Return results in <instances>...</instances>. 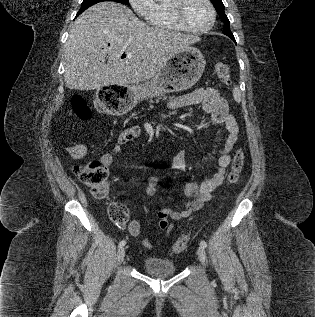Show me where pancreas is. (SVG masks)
<instances>
[{"mask_svg":"<svg viewBox=\"0 0 315 317\" xmlns=\"http://www.w3.org/2000/svg\"><path fill=\"white\" fill-rule=\"evenodd\" d=\"M162 96H163V94H162ZM163 99H167V97L164 96ZM156 102H159V99H157Z\"/></svg>","mask_w":315,"mask_h":317,"instance_id":"pancreas-1","label":"pancreas"}]
</instances>
